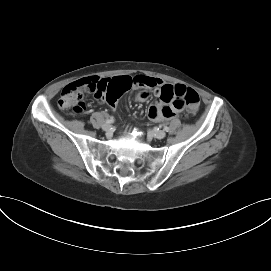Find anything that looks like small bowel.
Wrapping results in <instances>:
<instances>
[{"label": "small bowel", "instance_id": "small-bowel-1", "mask_svg": "<svg viewBox=\"0 0 271 271\" xmlns=\"http://www.w3.org/2000/svg\"><path fill=\"white\" fill-rule=\"evenodd\" d=\"M85 80L91 81L89 91L93 96L103 99L106 103L112 104V106L122 99L123 94L131 93L137 87L144 88V91L140 92L135 99L138 102H144L149 97L148 90L153 89L160 101L150 105L147 109V114L154 121L175 118L183 111V105L179 104L175 98L171 100L163 98V89L165 87L175 88L178 85L166 84L158 78L145 75L136 77L132 73H125L121 76H113L107 79L93 77ZM138 80L140 84H138Z\"/></svg>", "mask_w": 271, "mask_h": 271}]
</instances>
